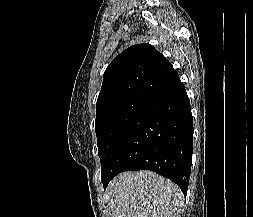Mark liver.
Masks as SVG:
<instances>
[{"label":"liver","mask_w":253,"mask_h":217,"mask_svg":"<svg viewBox=\"0 0 253 217\" xmlns=\"http://www.w3.org/2000/svg\"><path fill=\"white\" fill-rule=\"evenodd\" d=\"M112 217H177L180 188L152 171L123 172L108 186Z\"/></svg>","instance_id":"obj_1"}]
</instances>
